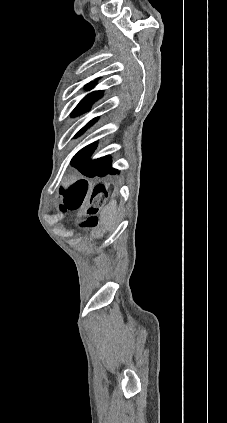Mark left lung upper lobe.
Here are the masks:
<instances>
[{"instance_id":"1","label":"left lung upper lobe","mask_w":227,"mask_h":423,"mask_svg":"<svg viewBox=\"0 0 227 423\" xmlns=\"http://www.w3.org/2000/svg\"><path fill=\"white\" fill-rule=\"evenodd\" d=\"M93 87V84L89 85L87 88L90 89ZM102 96V91L93 92L87 95L74 109L72 116H77L81 113L88 111L91 108V105L94 101H96L99 97ZM96 119L91 121L94 122Z\"/></svg>"}]
</instances>
